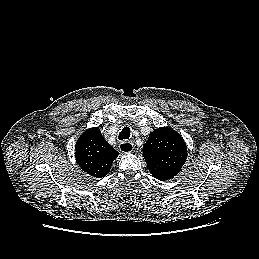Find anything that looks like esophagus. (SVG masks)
<instances>
[{"instance_id":"34e87169","label":"esophagus","mask_w":259,"mask_h":259,"mask_svg":"<svg viewBox=\"0 0 259 259\" xmlns=\"http://www.w3.org/2000/svg\"><path fill=\"white\" fill-rule=\"evenodd\" d=\"M118 149L123 154H129L134 151V144L132 142H121Z\"/></svg>"}]
</instances>
